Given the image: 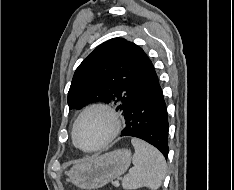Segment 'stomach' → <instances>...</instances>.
<instances>
[{"label":"stomach","mask_w":234,"mask_h":190,"mask_svg":"<svg viewBox=\"0 0 234 190\" xmlns=\"http://www.w3.org/2000/svg\"><path fill=\"white\" fill-rule=\"evenodd\" d=\"M130 163L131 152L128 149H117L74 165L68 176L81 189H97L124 174Z\"/></svg>","instance_id":"obj_1"}]
</instances>
